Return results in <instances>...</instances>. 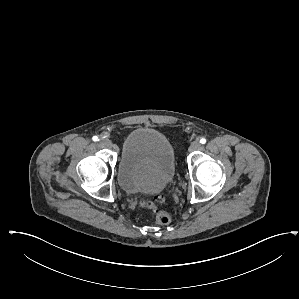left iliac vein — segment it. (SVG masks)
Masks as SVG:
<instances>
[{
    "label": "left iliac vein",
    "instance_id": "4c4485c4",
    "mask_svg": "<svg viewBox=\"0 0 299 299\" xmlns=\"http://www.w3.org/2000/svg\"><path fill=\"white\" fill-rule=\"evenodd\" d=\"M200 147H201V144L198 141H194L189 146V151L190 152L196 151V150L200 149Z\"/></svg>",
    "mask_w": 299,
    "mask_h": 299
}]
</instances>
